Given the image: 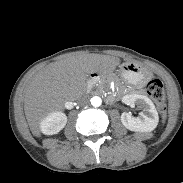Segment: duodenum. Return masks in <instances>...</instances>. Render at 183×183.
Listing matches in <instances>:
<instances>
[{
  "mask_svg": "<svg viewBox=\"0 0 183 183\" xmlns=\"http://www.w3.org/2000/svg\"><path fill=\"white\" fill-rule=\"evenodd\" d=\"M100 75L97 72H93L90 74V82L95 83L98 81Z\"/></svg>",
  "mask_w": 183,
  "mask_h": 183,
  "instance_id": "1",
  "label": "duodenum"
}]
</instances>
